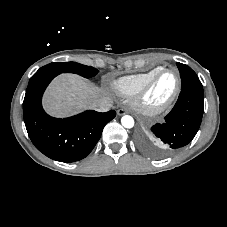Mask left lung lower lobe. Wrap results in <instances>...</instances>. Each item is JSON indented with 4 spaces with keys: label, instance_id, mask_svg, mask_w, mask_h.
<instances>
[{
    "label": "left lung lower lobe",
    "instance_id": "obj_1",
    "mask_svg": "<svg viewBox=\"0 0 227 227\" xmlns=\"http://www.w3.org/2000/svg\"><path fill=\"white\" fill-rule=\"evenodd\" d=\"M203 91L181 89L178 100L161 124L138 135L139 146L153 156H165L180 150L192 141L203 116Z\"/></svg>",
    "mask_w": 227,
    "mask_h": 227
}]
</instances>
